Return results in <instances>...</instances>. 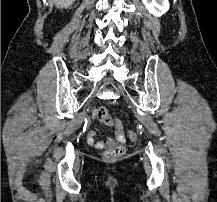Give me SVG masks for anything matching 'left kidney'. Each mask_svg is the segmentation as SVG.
<instances>
[{
    "mask_svg": "<svg viewBox=\"0 0 217 202\" xmlns=\"http://www.w3.org/2000/svg\"><path fill=\"white\" fill-rule=\"evenodd\" d=\"M142 4H144L149 14H153V16H158V18L169 10L168 0H142Z\"/></svg>",
    "mask_w": 217,
    "mask_h": 202,
    "instance_id": "5707ae66",
    "label": "left kidney"
}]
</instances>
